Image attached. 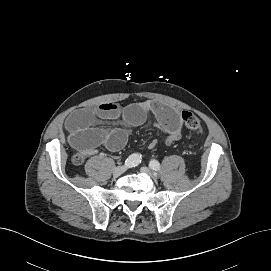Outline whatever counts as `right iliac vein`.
I'll return each mask as SVG.
<instances>
[{
	"instance_id": "obj_1",
	"label": "right iliac vein",
	"mask_w": 271,
	"mask_h": 271,
	"mask_svg": "<svg viewBox=\"0 0 271 271\" xmlns=\"http://www.w3.org/2000/svg\"><path fill=\"white\" fill-rule=\"evenodd\" d=\"M126 170H127V168L125 166L116 167L113 171V177L117 178V177L121 176Z\"/></svg>"
}]
</instances>
